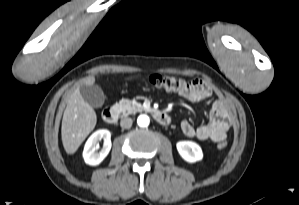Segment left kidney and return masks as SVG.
<instances>
[{"label":"left kidney","instance_id":"5707ae66","mask_svg":"<svg viewBox=\"0 0 299 205\" xmlns=\"http://www.w3.org/2000/svg\"><path fill=\"white\" fill-rule=\"evenodd\" d=\"M180 156L189 163H195L202 160L203 152L201 147L192 141H179L176 144Z\"/></svg>","mask_w":299,"mask_h":205}]
</instances>
